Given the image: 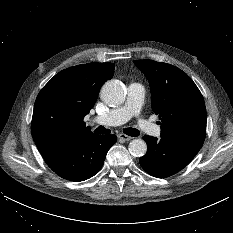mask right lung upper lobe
Masks as SVG:
<instances>
[{
	"mask_svg": "<svg viewBox=\"0 0 233 233\" xmlns=\"http://www.w3.org/2000/svg\"><path fill=\"white\" fill-rule=\"evenodd\" d=\"M114 69L113 63L73 66L56 74L43 87L36 98L31 123L41 154L93 135L83 119Z\"/></svg>",
	"mask_w": 233,
	"mask_h": 233,
	"instance_id": "obj_1",
	"label": "right lung upper lobe"
}]
</instances>
